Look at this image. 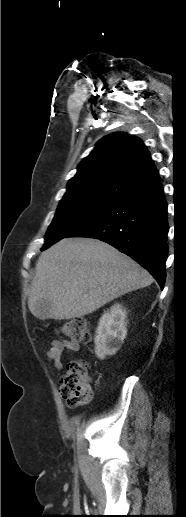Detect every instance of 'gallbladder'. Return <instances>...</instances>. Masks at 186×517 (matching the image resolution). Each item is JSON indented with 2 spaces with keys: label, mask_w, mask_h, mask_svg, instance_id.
<instances>
[{
  "label": "gallbladder",
  "mask_w": 186,
  "mask_h": 517,
  "mask_svg": "<svg viewBox=\"0 0 186 517\" xmlns=\"http://www.w3.org/2000/svg\"><path fill=\"white\" fill-rule=\"evenodd\" d=\"M49 308H50V304L46 301L39 302L36 305V310H39L41 315H44L48 311Z\"/></svg>",
  "instance_id": "obj_1"
}]
</instances>
